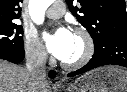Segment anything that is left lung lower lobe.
Instances as JSON below:
<instances>
[{"mask_svg":"<svg viewBox=\"0 0 127 92\" xmlns=\"http://www.w3.org/2000/svg\"><path fill=\"white\" fill-rule=\"evenodd\" d=\"M110 64L127 67V38H108L103 44L95 48L92 59L85 66L69 73L68 77Z\"/></svg>","mask_w":127,"mask_h":92,"instance_id":"0a47b994","label":"left lung lower lobe"}]
</instances>
